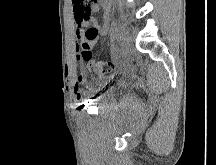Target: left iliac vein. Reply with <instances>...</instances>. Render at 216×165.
Segmentation results:
<instances>
[{"label":"left iliac vein","mask_w":216,"mask_h":165,"mask_svg":"<svg viewBox=\"0 0 216 165\" xmlns=\"http://www.w3.org/2000/svg\"><path fill=\"white\" fill-rule=\"evenodd\" d=\"M114 36L116 37L120 48L124 49L131 40V31L125 23H120L117 26Z\"/></svg>","instance_id":"4c4485c4"}]
</instances>
